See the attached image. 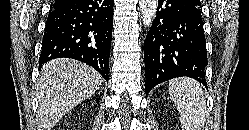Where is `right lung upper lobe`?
Instances as JSON below:
<instances>
[{"label":"right lung upper lobe","instance_id":"cb5924a9","mask_svg":"<svg viewBox=\"0 0 249 130\" xmlns=\"http://www.w3.org/2000/svg\"><path fill=\"white\" fill-rule=\"evenodd\" d=\"M70 1L71 0H57L54 3V9L59 8V7L63 6V5H65V4H67Z\"/></svg>","mask_w":249,"mask_h":130}]
</instances>
